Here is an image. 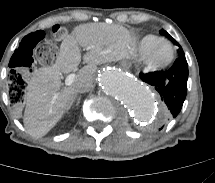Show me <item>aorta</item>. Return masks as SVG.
<instances>
[{"label": "aorta", "mask_w": 215, "mask_h": 183, "mask_svg": "<svg viewBox=\"0 0 215 183\" xmlns=\"http://www.w3.org/2000/svg\"><path fill=\"white\" fill-rule=\"evenodd\" d=\"M98 84L108 96L129 108L138 121L156 124L163 120L165 111L154 95L129 73L105 68L98 75Z\"/></svg>", "instance_id": "762f6f07"}]
</instances>
